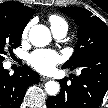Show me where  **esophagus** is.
I'll return each mask as SVG.
<instances>
[{
    "mask_svg": "<svg viewBox=\"0 0 108 108\" xmlns=\"http://www.w3.org/2000/svg\"><path fill=\"white\" fill-rule=\"evenodd\" d=\"M49 79H50V78L45 77V76H41V77H40V80L43 81V82L48 81Z\"/></svg>",
    "mask_w": 108,
    "mask_h": 108,
    "instance_id": "obj_1",
    "label": "esophagus"
}]
</instances>
